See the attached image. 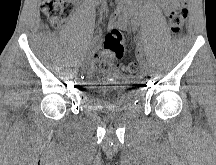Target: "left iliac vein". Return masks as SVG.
I'll list each match as a JSON object with an SVG mask.
<instances>
[{
  "label": "left iliac vein",
  "mask_w": 216,
  "mask_h": 165,
  "mask_svg": "<svg viewBox=\"0 0 216 165\" xmlns=\"http://www.w3.org/2000/svg\"><path fill=\"white\" fill-rule=\"evenodd\" d=\"M140 64H141L142 70H143L144 72H146L147 69H148V64H147V62H146L144 59H141Z\"/></svg>",
  "instance_id": "obj_1"
}]
</instances>
